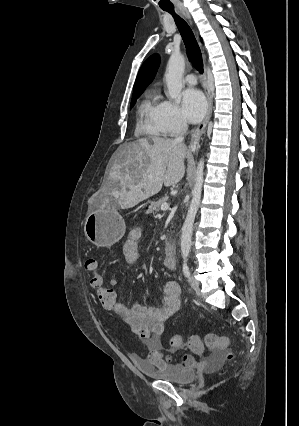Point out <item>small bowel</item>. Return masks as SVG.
I'll return each mask as SVG.
<instances>
[{
  "label": "small bowel",
  "mask_w": 299,
  "mask_h": 426,
  "mask_svg": "<svg viewBox=\"0 0 299 426\" xmlns=\"http://www.w3.org/2000/svg\"><path fill=\"white\" fill-rule=\"evenodd\" d=\"M141 236L139 229H134L124 244V255L128 263L133 264L138 258L137 241ZM163 266L168 270L175 268V259L164 257ZM108 284L111 287L118 285L116 277H110ZM181 290L174 281L165 284L161 302L158 306L146 307L142 305L129 306L125 297H120L118 304L112 310L119 315L130 327L131 331L138 334L148 350V361L158 368L172 364V359L163 352L162 335L165 322L175 314L181 307ZM196 363L194 356L185 354L182 356L180 365L191 367Z\"/></svg>",
  "instance_id": "c3829d8e"
}]
</instances>
